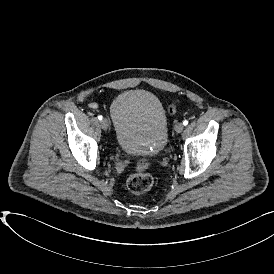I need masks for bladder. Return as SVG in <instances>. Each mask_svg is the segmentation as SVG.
<instances>
[{"label": "bladder", "mask_w": 274, "mask_h": 274, "mask_svg": "<svg viewBox=\"0 0 274 274\" xmlns=\"http://www.w3.org/2000/svg\"><path fill=\"white\" fill-rule=\"evenodd\" d=\"M118 147L130 156H155L166 147L168 121L161 101L145 90L119 94L111 106Z\"/></svg>", "instance_id": "obj_1"}]
</instances>
